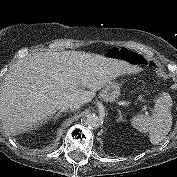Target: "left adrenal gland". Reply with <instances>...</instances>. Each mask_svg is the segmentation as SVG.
Segmentation results:
<instances>
[{
    "mask_svg": "<svg viewBox=\"0 0 177 177\" xmlns=\"http://www.w3.org/2000/svg\"><path fill=\"white\" fill-rule=\"evenodd\" d=\"M118 113H119V117H118V119H117V122L124 121L123 116H122V113H121L120 110H118Z\"/></svg>",
    "mask_w": 177,
    "mask_h": 177,
    "instance_id": "a2214340",
    "label": "left adrenal gland"
}]
</instances>
